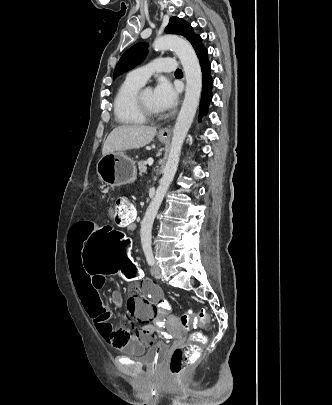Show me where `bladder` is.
<instances>
[{"label": "bladder", "mask_w": 332, "mask_h": 405, "mask_svg": "<svg viewBox=\"0 0 332 405\" xmlns=\"http://www.w3.org/2000/svg\"><path fill=\"white\" fill-rule=\"evenodd\" d=\"M167 350V345L163 343H157L149 349L141 350L140 352H135L132 348L120 349L123 354L148 366H155L161 363L166 357Z\"/></svg>", "instance_id": "31cf9c89"}]
</instances>
